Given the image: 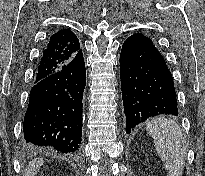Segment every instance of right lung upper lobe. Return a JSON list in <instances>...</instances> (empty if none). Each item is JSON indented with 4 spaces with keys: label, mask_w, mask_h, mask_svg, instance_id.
Returning a JSON list of instances; mask_svg holds the SVG:
<instances>
[{
    "label": "right lung upper lobe",
    "mask_w": 205,
    "mask_h": 176,
    "mask_svg": "<svg viewBox=\"0 0 205 176\" xmlns=\"http://www.w3.org/2000/svg\"><path fill=\"white\" fill-rule=\"evenodd\" d=\"M80 51L79 40L71 30L54 33L40 58L35 82L61 69Z\"/></svg>",
    "instance_id": "right-lung-upper-lobe-1"
}]
</instances>
